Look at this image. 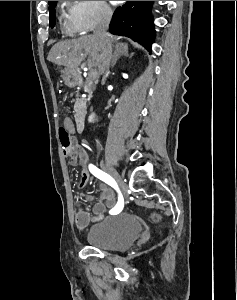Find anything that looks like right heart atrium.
<instances>
[{"label": "right heart atrium", "instance_id": "d8ad5b80", "mask_svg": "<svg viewBox=\"0 0 237 300\" xmlns=\"http://www.w3.org/2000/svg\"><path fill=\"white\" fill-rule=\"evenodd\" d=\"M66 14L69 29L76 34L89 33L113 18L106 1H68Z\"/></svg>", "mask_w": 237, "mask_h": 300}]
</instances>
